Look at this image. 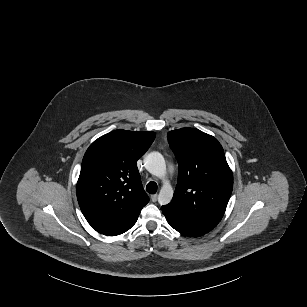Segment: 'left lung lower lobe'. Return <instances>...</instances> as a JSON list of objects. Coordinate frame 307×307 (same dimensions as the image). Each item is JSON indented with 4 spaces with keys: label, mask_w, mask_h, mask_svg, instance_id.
<instances>
[{
    "label": "left lung lower lobe",
    "mask_w": 307,
    "mask_h": 307,
    "mask_svg": "<svg viewBox=\"0 0 307 307\" xmlns=\"http://www.w3.org/2000/svg\"><path fill=\"white\" fill-rule=\"evenodd\" d=\"M162 212L165 215L168 223L178 232L185 236L198 237L204 235L208 231L200 229L194 225L189 224L181 217L177 216L175 211L167 206H162Z\"/></svg>",
    "instance_id": "1"
}]
</instances>
